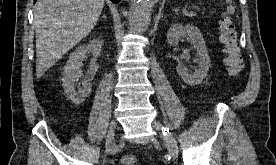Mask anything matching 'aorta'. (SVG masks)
<instances>
[{
  "label": "aorta",
  "mask_w": 276,
  "mask_h": 165,
  "mask_svg": "<svg viewBox=\"0 0 276 165\" xmlns=\"http://www.w3.org/2000/svg\"><path fill=\"white\" fill-rule=\"evenodd\" d=\"M158 0H131L130 25L132 30L143 33L149 26L150 16Z\"/></svg>",
  "instance_id": "aorta-1"
}]
</instances>
